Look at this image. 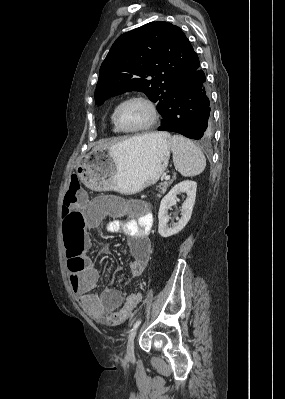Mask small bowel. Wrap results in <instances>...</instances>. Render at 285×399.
Listing matches in <instances>:
<instances>
[{"label": "small bowel", "mask_w": 285, "mask_h": 399, "mask_svg": "<svg viewBox=\"0 0 285 399\" xmlns=\"http://www.w3.org/2000/svg\"><path fill=\"white\" fill-rule=\"evenodd\" d=\"M84 206L78 205L77 213L83 212ZM97 210L102 217H110L106 232L109 234H122L127 239L128 250L131 259L128 263L130 278L140 277L150 258L149 234L153 226V219L150 214L140 210L137 213L126 214L123 202L113 196L100 198ZM94 224L79 223L72 231L76 240L83 244L90 252L92 241L89 232ZM69 228L66 226L64 231ZM101 282V275L95 268L93 258L88 255L86 266L78 273L70 277V285L73 294L81 306L87 310L93 318L103 321L106 325L116 327L122 324L123 320H115L114 316L123 302L130 303L132 309L141 300L139 293L129 294L126 298L116 289H104L100 295L92 293Z\"/></svg>", "instance_id": "small-bowel-1"}]
</instances>
